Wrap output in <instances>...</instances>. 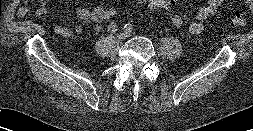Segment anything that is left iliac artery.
<instances>
[{"label": "left iliac artery", "instance_id": "obj_1", "mask_svg": "<svg viewBox=\"0 0 253 131\" xmlns=\"http://www.w3.org/2000/svg\"><path fill=\"white\" fill-rule=\"evenodd\" d=\"M133 30V26L132 24L128 23L124 26V31L127 33V32H132Z\"/></svg>", "mask_w": 253, "mask_h": 131}]
</instances>
